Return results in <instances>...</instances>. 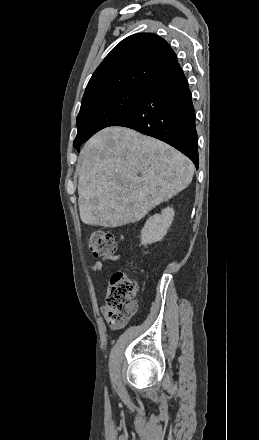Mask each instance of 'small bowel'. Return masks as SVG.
<instances>
[{
  "label": "small bowel",
  "instance_id": "small-bowel-1",
  "mask_svg": "<svg viewBox=\"0 0 259 440\" xmlns=\"http://www.w3.org/2000/svg\"><path fill=\"white\" fill-rule=\"evenodd\" d=\"M119 258H120V254L106 256V257L103 258V261H96V262H94L90 266V271L91 272H100L103 269V263L105 261H115V260H118Z\"/></svg>",
  "mask_w": 259,
  "mask_h": 440
}]
</instances>
